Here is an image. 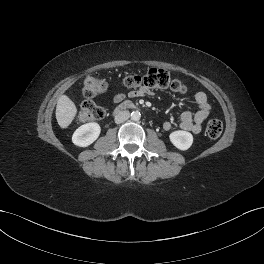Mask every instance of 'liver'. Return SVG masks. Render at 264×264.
<instances>
[{
	"label": "liver",
	"mask_w": 264,
	"mask_h": 264,
	"mask_svg": "<svg viewBox=\"0 0 264 264\" xmlns=\"http://www.w3.org/2000/svg\"><path fill=\"white\" fill-rule=\"evenodd\" d=\"M76 114L77 108L75 103L67 95L60 96L56 105V119L59 126L67 128Z\"/></svg>",
	"instance_id": "1"
}]
</instances>
